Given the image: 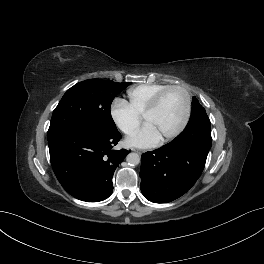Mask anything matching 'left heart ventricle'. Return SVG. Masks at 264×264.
Segmentation results:
<instances>
[{"label":"left heart ventricle","mask_w":264,"mask_h":264,"mask_svg":"<svg viewBox=\"0 0 264 264\" xmlns=\"http://www.w3.org/2000/svg\"><path fill=\"white\" fill-rule=\"evenodd\" d=\"M185 98L181 91H169L158 108L149 114L145 122L150 123L161 137L173 132L181 123Z\"/></svg>","instance_id":"1"}]
</instances>
